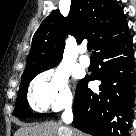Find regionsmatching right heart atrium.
<instances>
[{"label": "right heart atrium", "mask_w": 136, "mask_h": 136, "mask_svg": "<svg viewBox=\"0 0 136 136\" xmlns=\"http://www.w3.org/2000/svg\"><path fill=\"white\" fill-rule=\"evenodd\" d=\"M72 104L68 75L61 69H50L38 75L30 85V105L33 110L60 111Z\"/></svg>", "instance_id": "obj_1"}]
</instances>
